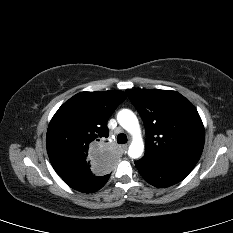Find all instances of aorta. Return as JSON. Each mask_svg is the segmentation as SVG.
I'll list each match as a JSON object with an SVG mask.
<instances>
[{
    "label": "aorta",
    "mask_w": 233,
    "mask_h": 233,
    "mask_svg": "<svg viewBox=\"0 0 233 233\" xmlns=\"http://www.w3.org/2000/svg\"><path fill=\"white\" fill-rule=\"evenodd\" d=\"M117 121L133 138L128 150L129 157L139 158L143 154L144 143L136 115L129 109H122L117 114Z\"/></svg>",
    "instance_id": "762f6f07"
}]
</instances>
